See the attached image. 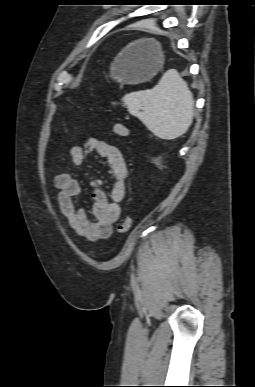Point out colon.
I'll list each match as a JSON object with an SVG mask.
<instances>
[{
    "mask_svg": "<svg viewBox=\"0 0 255 387\" xmlns=\"http://www.w3.org/2000/svg\"><path fill=\"white\" fill-rule=\"evenodd\" d=\"M113 133L120 138H124L128 136L129 130L124 124L116 122L113 125ZM131 227H132V218L130 216H126L120 222L118 226V231L120 233H125L129 231Z\"/></svg>",
    "mask_w": 255,
    "mask_h": 387,
    "instance_id": "obj_1",
    "label": "colon"
}]
</instances>
